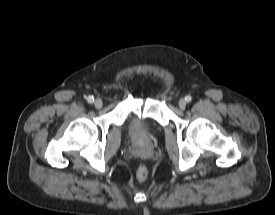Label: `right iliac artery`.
Masks as SVG:
<instances>
[{
	"label": "right iliac artery",
	"instance_id": "1",
	"mask_svg": "<svg viewBox=\"0 0 275 215\" xmlns=\"http://www.w3.org/2000/svg\"><path fill=\"white\" fill-rule=\"evenodd\" d=\"M87 101H88V103H93L94 102V97L93 96H89L88 98H87Z\"/></svg>",
	"mask_w": 275,
	"mask_h": 215
}]
</instances>
